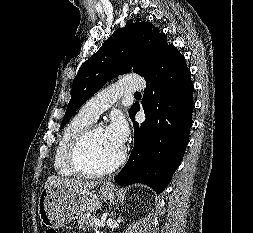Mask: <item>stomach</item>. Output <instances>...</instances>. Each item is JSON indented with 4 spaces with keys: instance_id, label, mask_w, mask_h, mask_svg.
I'll return each instance as SVG.
<instances>
[{
    "instance_id": "0dacf381",
    "label": "stomach",
    "mask_w": 253,
    "mask_h": 233,
    "mask_svg": "<svg viewBox=\"0 0 253 233\" xmlns=\"http://www.w3.org/2000/svg\"><path fill=\"white\" fill-rule=\"evenodd\" d=\"M116 189L110 183L101 184L99 190L73 192L65 187H44L38 213L41 223L47 228H60L84 211H96L101 200L113 202Z\"/></svg>"
}]
</instances>
